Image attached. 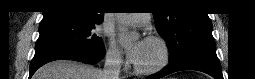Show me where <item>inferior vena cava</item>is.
<instances>
[{"label": "inferior vena cava", "instance_id": "obj_1", "mask_svg": "<svg viewBox=\"0 0 255 79\" xmlns=\"http://www.w3.org/2000/svg\"><path fill=\"white\" fill-rule=\"evenodd\" d=\"M122 59L116 52L106 54L104 68L102 70L103 79H119Z\"/></svg>", "mask_w": 255, "mask_h": 79}]
</instances>
